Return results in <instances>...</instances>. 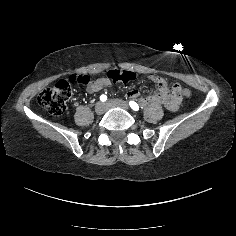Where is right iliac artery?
Here are the masks:
<instances>
[{
  "label": "right iliac artery",
  "instance_id": "1",
  "mask_svg": "<svg viewBox=\"0 0 236 236\" xmlns=\"http://www.w3.org/2000/svg\"><path fill=\"white\" fill-rule=\"evenodd\" d=\"M100 100L102 101V102H105L106 100H107V96L106 95H101L100 96Z\"/></svg>",
  "mask_w": 236,
  "mask_h": 236
}]
</instances>
